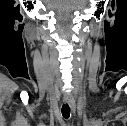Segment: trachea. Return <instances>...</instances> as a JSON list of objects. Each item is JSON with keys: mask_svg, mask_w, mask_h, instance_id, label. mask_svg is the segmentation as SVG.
<instances>
[{"mask_svg": "<svg viewBox=\"0 0 127 126\" xmlns=\"http://www.w3.org/2000/svg\"><path fill=\"white\" fill-rule=\"evenodd\" d=\"M62 116L65 119L69 118V116H70V107H69L68 104H63V106H62Z\"/></svg>", "mask_w": 127, "mask_h": 126, "instance_id": "1", "label": "trachea"}]
</instances>
